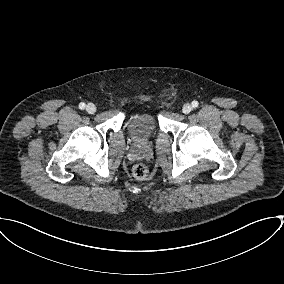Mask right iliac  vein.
<instances>
[{"instance_id":"obj_1","label":"right iliac vein","mask_w":284,"mask_h":284,"mask_svg":"<svg viewBox=\"0 0 284 284\" xmlns=\"http://www.w3.org/2000/svg\"><path fill=\"white\" fill-rule=\"evenodd\" d=\"M86 111L89 114H93V113L96 112V106L93 103H89V104L86 105Z\"/></svg>"}]
</instances>
